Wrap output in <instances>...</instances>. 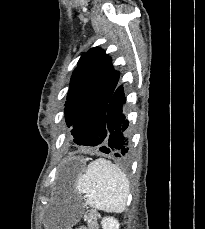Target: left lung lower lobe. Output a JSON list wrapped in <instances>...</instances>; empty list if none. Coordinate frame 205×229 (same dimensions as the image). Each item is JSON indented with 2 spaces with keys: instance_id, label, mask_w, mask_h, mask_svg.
Instances as JSON below:
<instances>
[{
  "instance_id": "left-lung-lower-lobe-1",
  "label": "left lung lower lobe",
  "mask_w": 205,
  "mask_h": 229,
  "mask_svg": "<svg viewBox=\"0 0 205 229\" xmlns=\"http://www.w3.org/2000/svg\"><path fill=\"white\" fill-rule=\"evenodd\" d=\"M125 101L123 87H116L108 103L104 129L101 132L96 130V134L95 132L91 134V140L101 144L100 151L122 160L130 156L128 120L122 114V106Z\"/></svg>"
}]
</instances>
